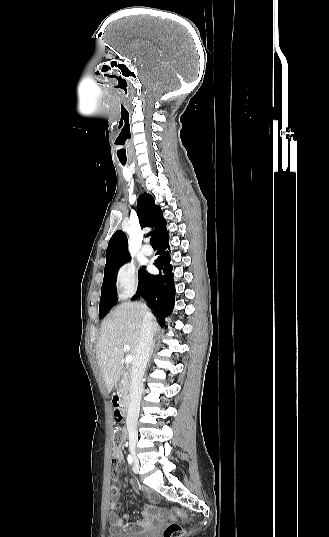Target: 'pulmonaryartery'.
<instances>
[{"mask_svg":"<svg viewBox=\"0 0 329 537\" xmlns=\"http://www.w3.org/2000/svg\"><path fill=\"white\" fill-rule=\"evenodd\" d=\"M141 251L145 255H151L152 254V248L148 244L143 245L142 248H141Z\"/></svg>","mask_w":329,"mask_h":537,"instance_id":"pulmonary-artery-1","label":"pulmonary artery"}]
</instances>
